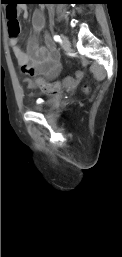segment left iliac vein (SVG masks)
<instances>
[{
  "label": "left iliac vein",
  "mask_w": 122,
  "mask_h": 257,
  "mask_svg": "<svg viewBox=\"0 0 122 257\" xmlns=\"http://www.w3.org/2000/svg\"><path fill=\"white\" fill-rule=\"evenodd\" d=\"M62 47L67 50L71 47V43L67 37H63L62 39Z\"/></svg>",
  "instance_id": "left-iliac-vein-1"
}]
</instances>
